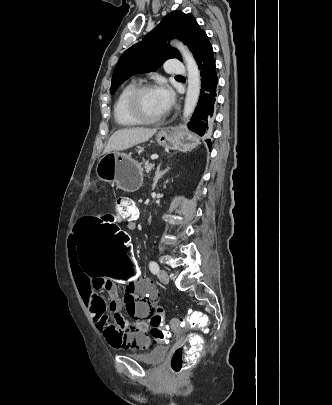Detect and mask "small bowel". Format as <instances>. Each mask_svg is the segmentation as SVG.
<instances>
[{
    "label": "small bowel",
    "instance_id": "1",
    "mask_svg": "<svg viewBox=\"0 0 332 405\" xmlns=\"http://www.w3.org/2000/svg\"><path fill=\"white\" fill-rule=\"evenodd\" d=\"M126 223L131 229L130 221ZM77 236L76 230L68 247L69 263L81 297L97 329L113 348H131V353H148L152 340L142 338L150 335V325L145 320L157 305L160 289L148 288L151 286L149 281L141 278L140 282H132L131 287H126L122 300L114 281H103L102 275H84L82 262H77ZM103 290L109 295L108 303L100 295ZM121 310L127 311L134 321H126L119 314Z\"/></svg>",
    "mask_w": 332,
    "mask_h": 405
}]
</instances>
